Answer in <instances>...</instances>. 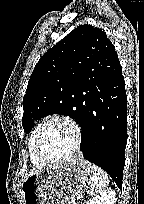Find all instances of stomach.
Here are the masks:
<instances>
[{
	"label": "stomach",
	"mask_w": 144,
	"mask_h": 204,
	"mask_svg": "<svg viewBox=\"0 0 144 204\" xmlns=\"http://www.w3.org/2000/svg\"><path fill=\"white\" fill-rule=\"evenodd\" d=\"M92 164L71 160L34 173L22 183L24 204H68L82 195L92 183Z\"/></svg>",
	"instance_id": "stomach-1"
}]
</instances>
